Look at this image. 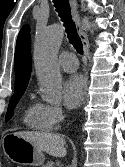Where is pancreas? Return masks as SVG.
Instances as JSON below:
<instances>
[{
  "mask_svg": "<svg viewBox=\"0 0 125 167\" xmlns=\"http://www.w3.org/2000/svg\"><path fill=\"white\" fill-rule=\"evenodd\" d=\"M43 167H54L52 161H48Z\"/></svg>",
  "mask_w": 125,
  "mask_h": 167,
  "instance_id": "obj_1",
  "label": "pancreas"
}]
</instances>
